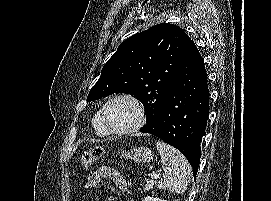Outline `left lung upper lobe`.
I'll return each mask as SVG.
<instances>
[{"label":"left lung upper lobe","instance_id":"left-lung-upper-lobe-1","mask_svg":"<svg viewBox=\"0 0 271 201\" xmlns=\"http://www.w3.org/2000/svg\"><path fill=\"white\" fill-rule=\"evenodd\" d=\"M184 34L180 27L163 23L123 41L104 65L87 101L113 93L132 94L145 108L144 127L155 128L176 78Z\"/></svg>","mask_w":271,"mask_h":201}]
</instances>
